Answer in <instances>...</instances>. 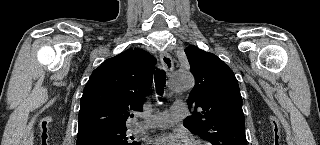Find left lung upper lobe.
Segmentation results:
<instances>
[{
  "label": "left lung upper lobe",
  "mask_w": 320,
  "mask_h": 145,
  "mask_svg": "<svg viewBox=\"0 0 320 145\" xmlns=\"http://www.w3.org/2000/svg\"><path fill=\"white\" fill-rule=\"evenodd\" d=\"M195 86L184 126L212 145H247L242 97L233 71L219 57L194 45L185 49Z\"/></svg>",
  "instance_id": "5c2ea615"
}]
</instances>
